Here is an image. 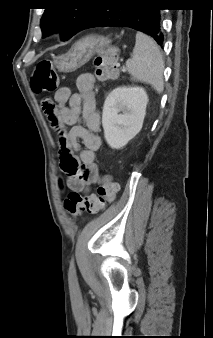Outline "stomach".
Instances as JSON below:
<instances>
[{
	"label": "stomach",
	"instance_id": "stomach-1",
	"mask_svg": "<svg viewBox=\"0 0 213 338\" xmlns=\"http://www.w3.org/2000/svg\"><path fill=\"white\" fill-rule=\"evenodd\" d=\"M110 41L102 36H87L77 41L64 55L55 59L56 68L71 73L85 65L98 51L108 47Z\"/></svg>",
	"mask_w": 213,
	"mask_h": 338
}]
</instances>
